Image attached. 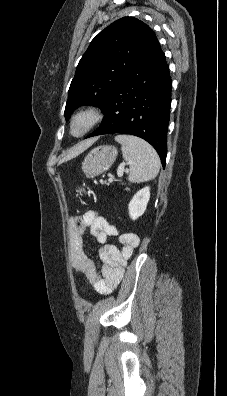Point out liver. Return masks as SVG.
Instances as JSON below:
<instances>
[{
  "mask_svg": "<svg viewBox=\"0 0 227 396\" xmlns=\"http://www.w3.org/2000/svg\"><path fill=\"white\" fill-rule=\"evenodd\" d=\"M94 141L95 140L93 139V140L82 142L79 146L74 148L62 161L69 160V159L79 155L84 150H86L89 146H91Z\"/></svg>",
  "mask_w": 227,
  "mask_h": 396,
  "instance_id": "liver-1",
  "label": "liver"
}]
</instances>
